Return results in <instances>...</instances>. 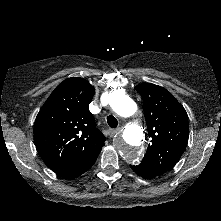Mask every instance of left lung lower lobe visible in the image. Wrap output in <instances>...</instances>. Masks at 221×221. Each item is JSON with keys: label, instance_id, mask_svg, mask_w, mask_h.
<instances>
[{"label": "left lung lower lobe", "instance_id": "1", "mask_svg": "<svg viewBox=\"0 0 221 221\" xmlns=\"http://www.w3.org/2000/svg\"><path fill=\"white\" fill-rule=\"evenodd\" d=\"M130 167L133 169V171L138 174L139 176L143 177V178H154L160 174H158L153 168H151L150 166L146 165V164H139L137 166H132L130 165Z\"/></svg>", "mask_w": 221, "mask_h": 221}]
</instances>
